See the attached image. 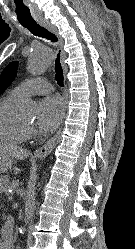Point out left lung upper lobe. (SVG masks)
<instances>
[{
  "label": "left lung upper lobe",
  "mask_w": 135,
  "mask_h": 249,
  "mask_svg": "<svg viewBox=\"0 0 135 249\" xmlns=\"http://www.w3.org/2000/svg\"><path fill=\"white\" fill-rule=\"evenodd\" d=\"M17 61L8 64L0 75V94L12 83L16 76Z\"/></svg>",
  "instance_id": "5c2ea615"
}]
</instances>
